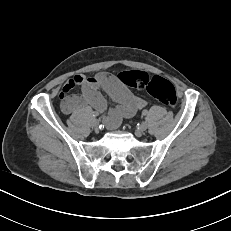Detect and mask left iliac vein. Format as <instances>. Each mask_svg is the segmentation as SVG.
<instances>
[{
	"mask_svg": "<svg viewBox=\"0 0 231 231\" xmlns=\"http://www.w3.org/2000/svg\"><path fill=\"white\" fill-rule=\"evenodd\" d=\"M148 128V124L146 122H142L141 125L139 126V131L143 132Z\"/></svg>",
	"mask_w": 231,
	"mask_h": 231,
	"instance_id": "obj_1",
	"label": "left iliac vein"
}]
</instances>
